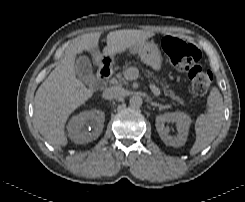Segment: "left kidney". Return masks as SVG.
<instances>
[{"mask_svg": "<svg viewBox=\"0 0 245 202\" xmlns=\"http://www.w3.org/2000/svg\"><path fill=\"white\" fill-rule=\"evenodd\" d=\"M175 122L177 125L178 134L170 136L165 123ZM191 124V118L187 113L174 112L164 113L156 117V129L161 140L168 146L180 147L183 146L187 140L188 130Z\"/></svg>", "mask_w": 245, "mask_h": 202, "instance_id": "5707ae66", "label": "left kidney"}]
</instances>
